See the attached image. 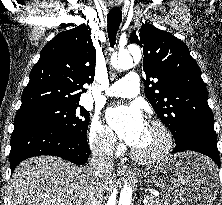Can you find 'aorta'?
<instances>
[{
    "instance_id": "obj_1",
    "label": "aorta",
    "mask_w": 222,
    "mask_h": 205,
    "mask_svg": "<svg viewBox=\"0 0 222 205\" xmlns=\"http://www.w3.org/2000/svg\"><path fill=\"white\" fill-rule=\"evenodd\" d=\"M130 51H132V49H124L119 51L118 55L114 57L111 61L112 66L118 70L131 69L134 66V62ZM134 51L136 55L140 58V50L138 48H135ZM134 191L135 189L133 182L130 180L126 181L119 193L115 190L111 194L107 205H130L134 195Z\"/></svg>"
}]
</instances>
